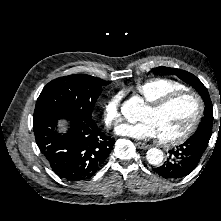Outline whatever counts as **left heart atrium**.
Wrapping results in <instances>:
<instances>
[{"instance_id":"obj_1","label":"left heart atrium","mask_w":221,"mask_h":221,"mask_svg":"<svg viewBox=\"0 0 221 221\" xmlns=\"http://www.w3.org/2000/svg\"><path fill=\"white\" fill-rule=\"evenodd\" d=\"M116 133L120 136L130 137L137 140L158 138L157 130L149 120L138 123H122L116 127Z\"/></svg>"}]
</instances>
